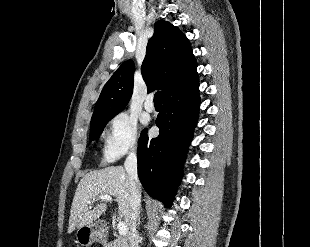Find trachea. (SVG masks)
Listing matches in <instances>:
<instances>
[{
  "label": "trachea",
  "instance_id": "obj_1",
  "mask_svg": "<svg viewBox=\"0 0 310 247\" xmlns=\"http://www.w3.org/2000/svg\"><path fill=\"white\" fill-rule=\"evenodd\" d=\"M154 103L155 104H161V92L158 91L154 95Z\"/></svg>",
  "mask_w": 310,
  "mask_h": 247
}]
</instances>
